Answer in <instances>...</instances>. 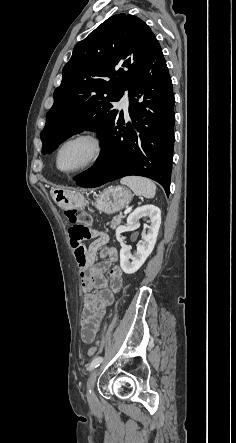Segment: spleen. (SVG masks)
<instances>
[{"label": "spleen", "mask_w": 236, "mask_h": 443, "mask_svg": "<svg viewBox=\"0 0 236 443\" xmlns=\"http://www.w3.org/2000/svg\"><path fill=\"white\" fill-rule=\"evenodd\" d=\"M121 184L128 186L136 195L153 198L156 185L148 178L140 176H126L121 179Z\"/></svg>", "instance_id": "spleen-1"}]
</instances>
